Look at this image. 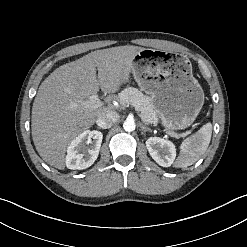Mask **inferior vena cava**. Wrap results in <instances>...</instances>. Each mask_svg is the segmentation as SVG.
I'll use <instances>...</instances> for the list:
<instances>
[{
	"label": "inferior vena cava",
	"instance_id": "obj_1",
	"mask_svg": "<svg viewBox=\"0 0 247 247\" xmlns=\"http://www.w3.org/2000/svg\"><path fill=\"white\" fill-rule=\"evenodd\" d=\"M119 115L112 110L106 111L100 114L96 120V124L103 129L110 128L112 125L117 122Z\"/></svg>",
	"mask_w": 247,
	"mask_h": 247
}]
</instances>
